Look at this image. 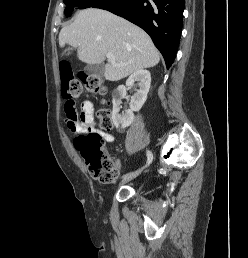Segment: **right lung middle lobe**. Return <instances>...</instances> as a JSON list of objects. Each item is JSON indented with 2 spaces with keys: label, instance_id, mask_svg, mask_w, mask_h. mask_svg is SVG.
Masks as SVG:
<instances>
[{
  "label": "right lung middle lobe",
  "instance_id": "1",
  "mask_svg": "<svg viewBox=\"0 0 248 258\" xmlns=\"http://www.w3.org/2000/svg\"><path fill=\"white\" fill-rule=\"evenodd\" d=\"M106 1L108 0H64V3L66 5L65 15L66 17H69L77 9L95 7L96 5Z\"/></svg>",
  "mask_w": 248,
  "mask_h": 258
}]
</instances>
